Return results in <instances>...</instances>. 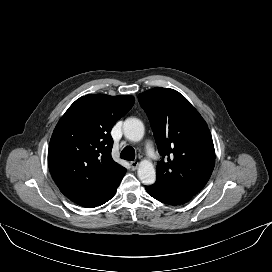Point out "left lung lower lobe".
Masks as SVG:
<instances>
[{"instance_id":"0a47b994","label":"left lung lower lobe","mask_w":272,"mask_h":272,"mask_svg":"<svg viewBox=\"0 0 272 272\" xmlns=\"http://www.w3.org/2000/svg\"><path fill=\"white\" fill-rule=\"evenodd\" d=\"M145 189L150 196L169 205L184 204L193 197V195L167 189H159L153 186H146Z\"/></svg>"}]
</instances>
